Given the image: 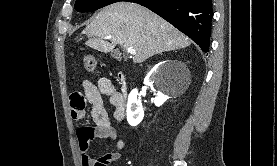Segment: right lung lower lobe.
Instances as JSON below:
<instances>
[{"label":"right lung lower lobe","instance_id":"1","mask_svg":"<svg viewBox=\"0 0 277 166\" xmlns=\"http://www.w3.org/2000/svg\"><path fill=\"white\" fill-rule=\"evenodd\" d=\"M138 3L161 16L209 51L212 27V0H121Z\"/></svg>","mask_w":277,"mask_h":166}]
</instances>
